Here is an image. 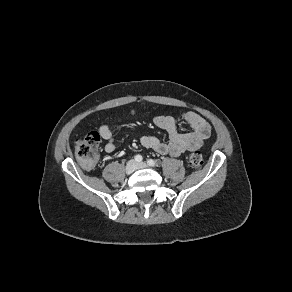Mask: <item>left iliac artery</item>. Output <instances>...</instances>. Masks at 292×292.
Listing matches in <instances>:
<instances>
[{
	"mask_svg": "<svg viewBox=\"0 0 292 292\" xmlns=\"http://www.w3.org/2000/svg\"><path fill=\"white\" fill-rule=\"evenodd\" d=\"M147 163L149 166H152V167L156 166V162L153 159H148Z\"/></svg>",
	"mask_w": 292,
	"mask_h": 292,
	"instance_id": "obj_1",
	"label": "left iliac artery"
}]
</instances>
